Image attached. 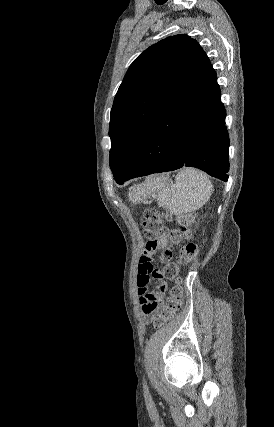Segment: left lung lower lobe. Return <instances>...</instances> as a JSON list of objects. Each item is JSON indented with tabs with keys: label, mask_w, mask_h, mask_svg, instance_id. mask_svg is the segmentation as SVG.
Listing matches in <instances>:
<instances>
[{
	"label": "left lung lower lobe",
	"mask_w": 274,
	"mask_h": 427,
	"mask_svg": "<svg viewBox=\"0 0 274 427\" xmlns=\"http://www.w3.org/2000/svg\"><path fill=\"white\" fill-rule=\"evenodd\" d=\"M215 70L209 60L163 111L118 184L152 173L195 167L227 181L229 137Z\"/></svg>",
	"instance_id": "left-lung-lower-lobe-1"
}]
</instances>
